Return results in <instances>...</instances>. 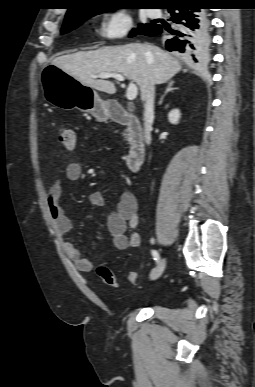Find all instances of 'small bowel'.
<instances>
[{"label": "small bowel", "instance_id": "obj_1", "mask_svg": "<svg viewBox=\"0 0 255 387\" xmlns=\"http://www.w3.org/2000/svg\"><path fill=\"white\" fill-rule=\"evenodd\" d=\"M82 175V167L79 163H69L64 169V178L68 181H77ZM63 192L61 178L54 180L48 192V211L55 230L64 235L71 230L72 224L60 205ZM89 201L93 207L103 210L105 200L101 192L94 191L89 194ZM139 222L137 202L130 193H124L118 202L116 209L106 219V230L117 250L136 248L140 245V235L135 231ZM64 249L76 268L81 272H90L93 262L82 255L81 251L70 242L64 244Z\"/></svg>", "mask_w": 255, "mask_h": 387}]
</instances>
